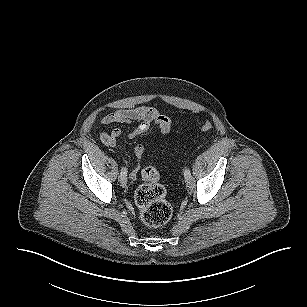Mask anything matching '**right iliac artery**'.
I'll return each mask as SVG.
<instances>
[{
  "instance_id": "82829eb1",
  "label": "right iliac artery",
  "mask_w": 307,
  "mask_h": 307,
  "mask_svg": "<svg viewBox=\"0 0 307 307\" xmlns=\"http://www.w3.org/2000/svg\"><path fill=\"white\" fill-rule=\"evenodd\" d=\"M121 174H127V169H126V167H123V168L121 169Z\"/></svg>"
}]
</instances>
